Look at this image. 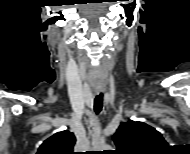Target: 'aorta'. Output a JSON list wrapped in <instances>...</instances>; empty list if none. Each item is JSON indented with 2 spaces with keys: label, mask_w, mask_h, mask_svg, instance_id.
I'll return each instance as SVG.
<instances>
[{
  "label": "aorta",
  "mask_w": 190,
  "mask_h": 154,
  "mask_svg": "<svg viewBox=\"0 0 190 154\" xmlns=\"http://www.w3.org/2000/svg\"><path fill=\"white\" fill-rule=\"evenodd\" d=\"M109 148H110V146L107 144L100 145V149H102V150H108Z\"/></svg>",
  "instance_id": "1"
}]
</instances>
